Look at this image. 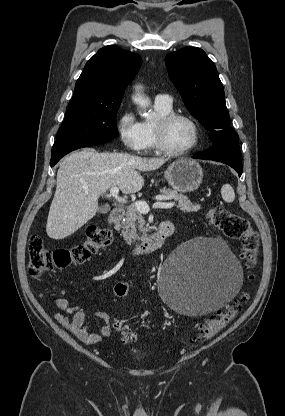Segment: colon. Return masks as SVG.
I'll return each instance as SVG.
<instances>
[{"mask_svg": "<svg viewBox=\"0 0 285 416\" xmlns=\"http://www.w3.org/2000/svg\"><path fill=\"white\" fill-rule=\"evenodd\" d=\"M207 218L209 223L222 231L226 237L242 242L241 257L245 261L246 268L252 271L257 264L259 241L249 221L226 210L223 206L211 208L207 213ZM85 235L84 242L73 248L47 247L40 236L32 235L28 242V273L30 276L39 277L53 269H62L70 264L83 263L112 241V233L97 225H89ZM128 291L127 283H118L114 288V296L117 299H122L127 296ZM247 299L246 294H240L229 305L213 314L205 323L199 324L196 327L198 338L206 340L219 333L235 319ZM113 326L122 333L126 342L135 340L134 335L125 328L121 321L114 320Z\"/></svg>", "mask_w": 285, "mask_h": 416, "instance_id": "5ec220e1", "label": "colon"}]
</instances>
